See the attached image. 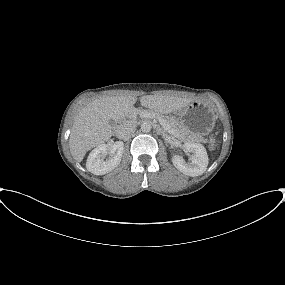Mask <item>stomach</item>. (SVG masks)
<instances>
[{"label": "stomach", "mask_w": 285, "mask_h": 285, "mask_svg": "<svg viewBox=\"0 0 285 285\" xmlns=\"http://www.w3.org/2000/svg\"><path fill=\"white\" fill-rule=\"evenodd\" d=\"M176 114L180 126L193 138L208 135L216 121L214 109L203 101H192Z\"/></svg>", "instance_id": "obj_1"}]
</instances>
